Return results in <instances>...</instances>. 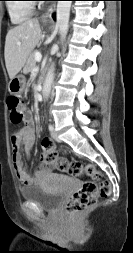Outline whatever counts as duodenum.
Instances as JSON below:
<instances>
[{
    "label": "duodenum",
    "mask_w": 133,
    "mask_h": 253,
    "mask_svg": "<svg viewBox=\"0 0 133 253\" xmlns=\"http://www.w3.org/2000/svg\"><path fill=\"white\" fill-rule=\"evenodd\" d=\"M43 81H44V78L41 79V84L43 83Z\"/></svg>",
    "instance_id": "410a0bca"
}]
</instances>
